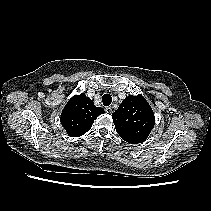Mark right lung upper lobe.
Listing matches in <instances>:
<instances>
[{"instance_id": "obj_1", "label": "right lung upper lobe", "mask_w": 211, "mask_h": 211, "mask_svg": "<svg viewBox=\"0 0 211 211\" xmlns=\"http://www.w3.org/2000/svg\"><path fill=\"white\" fill-rule=\"evenodd\" d=\"M105 111L96 107L84 93L73 96L61 114V124L71 137H79L90 130L97 116Z\"/></svg>"}]
</instances>
